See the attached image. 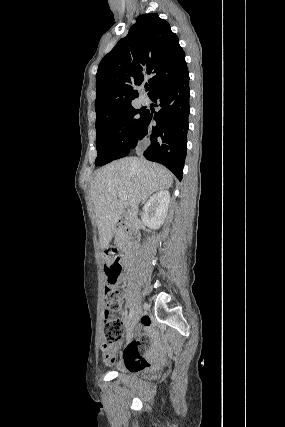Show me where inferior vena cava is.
<instances>
[{"label": "inferior vena cava", "instance_id": "obj_1", "mask_svg": "<svg viewBox=\"0 0 285 427\" xmlns=\"http://www.w3.org/2000/svg\"><path fill=\"white\" fill-rule=\"evenodd\" d=\"M138 206H132L129 211V222L134 223L137 220Z\"/></svg>", "mask_w": 285, "mask_h": 427}]
</instances>
